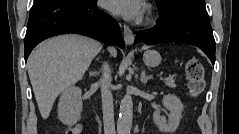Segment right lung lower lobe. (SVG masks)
Returning a JSON list of instances; mask_svg holds the SVG:
<instances>
[{
  "label": "right lung lower lobe",
  "mask_w": 239,
  "mask_h": 134,
  "mask_svg": "<svg viewBox=\"0 0 239 134\" xmlns=\"http://www.w3.org/2000/svg\"><path fill=\"white\" fill-rule=\"evenodd\" d=\"M64 33L86 35L120 48L125 46L118 23L97 8V0H40L29 16L25 60L38 43Z\"/></svg>",
  "instance_id": "obj_1"
}]
</instances>
